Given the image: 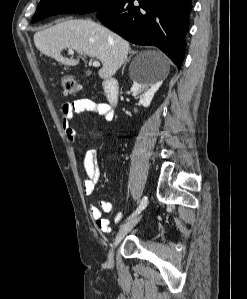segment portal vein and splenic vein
Instances as JSON below:
<instances>
[{
  "label": "portal vein and splenic vein",
  "mask_w": 247,
  "mask_h": 299,
  "mask_svg": "<svg viewBox=\"0 0 247 299\" xmlns=\"http://www.w3.org/2000/svg\"><path fill=\"white\" fill-rule=\"evenodd\" d=\"M69 53H70V54H73V53H74V51H73L72 49H69ZM93 66H95V67H98V66H100V63H99V61H97V60L93 61Z\"/></svg>",
  "instance_id": "portal-vein-and-splenic-vein-1"
}]
</instances>
